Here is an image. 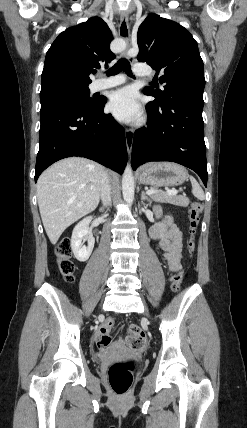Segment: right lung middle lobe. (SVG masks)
I'll return each instance as SVG.
<instances>
[{"label":"right lung middle lobe","instance_id":"1","mask_svg":"<svg viewBox=\"0 0 247 428\" xmlns=\"http://www.w3.org/2000/svg\"><path fill=\"white\" fill-rule=\"evenodd\" d=\"M41 108L67 104L77 107H92L99 99L90 97L87 86H66L40 93Z\"/></svg>","mask_w":247,"mask_h":428}]
</instances>
